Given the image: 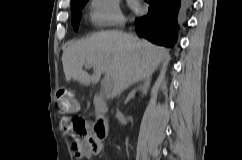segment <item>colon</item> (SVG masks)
I'll return each instance as SVG.
<instances>
[{"label": "colon", "instance_id": "colon-1", "mask_svg": "<svg viewBox=\"0 0 242 160\" xmlns=\"http://www.w3.org/2000/svg\"><path fill=\"white\" fill-rule=\"evenodd\" d=\"M57 101L59 110L62 113H71L76 111V106L72 94L69 89L61 88L57 93ZM68 133L75 138V140L85 136L87 122L79 115L66 116L63 119ZM75 147V145H74ZM100 152V143L93 141L91 144V151L88 156L96 155Z\"/></svg>", "mask_w": 242, "mask_h": 160}]
</instances>
